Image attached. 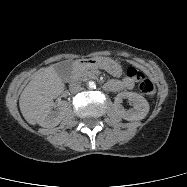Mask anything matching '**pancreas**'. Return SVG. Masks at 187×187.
I'll return each instance as SVG.
<instances>
[{"instance_id": "pancreas-1", "label": "pancreas", "mask_w": 187, "mask_h": 187, "mask_svg": "<svg viewBox=\"0 0 187 187\" xmlns=\"http://www.w3.org/2000/svg\"><path fill=\"white\" fill-rule=\"evenodd\" d=\"M99 71L90 65H85L74 72V78L78 81L96 79Z\"/></svg>"}]
</instances>
